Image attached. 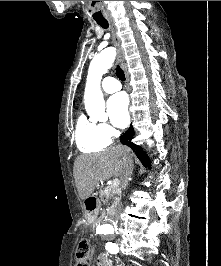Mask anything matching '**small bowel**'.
I'll use <instances>...</instances> for the list:
<instances>
[{
    "label": "small bowel",
    "mask_w": 221,
    "mask_h": 266,
    "mask_svg": "<svg viewBox=\"0 0 221 266\" xmlns=\"http://www.w3.org/2000/svg\"><path fill=\"white\" fill-rule=\"evenodd\" d=\"M97 266H112L111 260L108 254L103 253L97 259Z\"/></svg>",
    "instance_id": "c3829d8e"
}]
</instances>
